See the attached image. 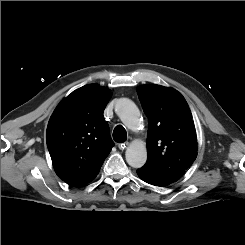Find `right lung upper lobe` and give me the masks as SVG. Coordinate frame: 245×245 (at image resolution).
Returning <instances> with one entry per match:
<instances>
[{"label":"right lung upper lobe","instance_id":"1","mask_svg":"<svg viewBox=\"0 0 245 245\" xmlns=\"http://www.w3.org/2000/svg\"><path fill=\"white\" fill-rule=\"evenodd\" d=\"M109 89L85 85L67 96L53 112L46 132L56 174L71 186L92 181L114 146L102 112Z\"/></svg>","mask_w":245,"mask_h":245}]
</instances>
